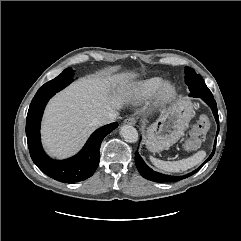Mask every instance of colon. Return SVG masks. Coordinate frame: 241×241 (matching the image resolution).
<instances>
[{"label":"colon","instance_id":"colon-1","mask_svg":"<svg viewBox=\"0 0 241 241\" xmlns=\"http://www.w3.org/2000/svg\"><path fill=\"white\" fill-rule=\"evenodd\" d=\"M210 128V120L208 116L202 115L196 124L193 126L189 137L185 141V147L188 150H196L198 149Z\"/></svg>","mask_w":241,"mask_h":241}]
</instances>
